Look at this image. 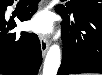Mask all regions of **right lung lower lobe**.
Here are the masks:
<instances>
[{"label":"right lung lower lobe","mask_w":102,"mask_h":75,"mask_svg":"<svg viewBox=\"0 0 102 75\" xmlns=\"http://www.w3.org/2000/svg\"><path fill=\"white\" fill-rule=\"evenodd\" d=\"M39 0H27L18 17L29 20L37 10ZM13 0L0 1V74L37 75L42 62L41 45L34 33H8L16 27L15 22H6L4 14Z\"/></svg>","instance_id":"1"}]
</instances>
